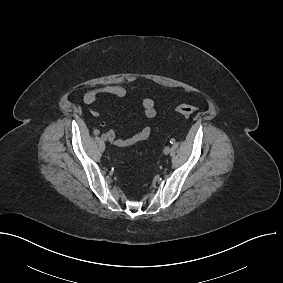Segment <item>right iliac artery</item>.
<instances>
[{"mask_svg": "<svg viewBox=\"0 0 283 283\" xmlns=\"http://www.w3.org/2000/svg\"><path fill=\"white\" fill-rule=\"evenodd\" d=\"M94 134H95V135H98V134H99V130H95V131H94Z\"/></svg>", "mask_w": 283, "mask_h": 283, "instance_id": "obj_1", "label": "right iliac artery"}]
</instances>
